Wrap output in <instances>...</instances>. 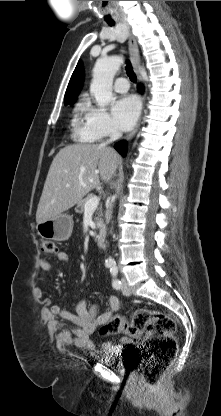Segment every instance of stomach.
Wrapping results in <instances>:
<instances>
[{
	"label": "stomach",
	"instance_id": "obj_1",
	"mask_svg": "<svg viewBox=\"0 0 221 416\" xmlns=\"http://www.w3.org/2000/svg\"><path fill=\"white\" fill-rule=\"evenodd\" d=\"M38 235L44 239L54 241H66L73 230V219L70 215L60 214L36 226Z\"/></svg>",
	"mask_w": 221,
	"mask_h": 416
}]
</instances>
